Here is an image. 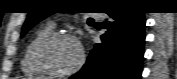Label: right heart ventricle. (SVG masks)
I'll list each match as a JSON object with an SVG mask.
<instances>
[{
  "label": "right heart ventricle",
  "mask_w": 177,
  "mask_h": 79,
  "mask_svg": "<svg viewBox=\"0 0 177 79\" xmlns=\"http://www.w3.org/2000/svg\"><path fill=\"white\" fill-rule=\"evenodd\" d=\"M53 34V29L51 26H45L39 29L34 37L28 42L25 47L23 57L21 60V70L23 73L27 75H44L45 73L37 66L34 61V53L35 49L40 42H42L45 38Z\"/></svg>",
  "instance_id": "right-heart-ventricle-1"
}]
</instances>
